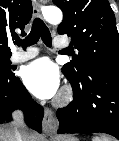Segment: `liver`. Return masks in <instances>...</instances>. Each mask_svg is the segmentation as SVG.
I'll return each mask as SVG.
<instances>
[{
    "mask_svg": "<svg viewBox=\"0 0 119 141\" xmlns=\"http://www.w3.org/2000/svg\"><path fill=\"white\" fill-rule=\"evenodd\" d=\"M15 130L12 125H0V141H14ZM27 141H37L38 137L35 133L26 132Z\"/></svg>",
    "mask_w": 119,
    "mask_h": 141,
    "instance_id": "6515ba94",
    "label": "liver"
}]
</instances>
